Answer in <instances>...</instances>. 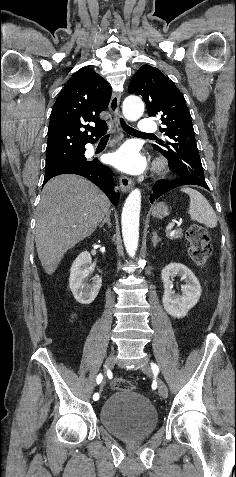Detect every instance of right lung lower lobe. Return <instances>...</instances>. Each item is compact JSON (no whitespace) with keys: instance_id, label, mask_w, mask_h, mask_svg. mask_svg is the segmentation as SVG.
Listing matches in <instances>:
<instances>
[{"instance_id":"obj_1","label":"right lung lower lobe","mask_w":236,"mask_h":477,"mask_svg":"<svg viewBox=\"0 0 236 477\" xmlns=\"http://www.w3.org/2000/svg\"><path fill=\"white\" fill-rule=\"evenodd\" d=\"M60 174H77L89 179L106 193L113 205L116 206L118 204L119 193L114 191L113 172L98 159L47 168L45 170L44 184L52 177Z\"/></svg>"}]
</instances>
